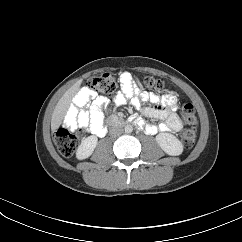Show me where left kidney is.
I'll use <instances>...</instances> for the list:
<instances>
[{
	"instance_id": "5707ae66",
	"label": "left kidney",
	"mask_w": 242,
	"mask_h": 242,
	"mask_svg": "<svg viewBox=\"0 0 242 242\" xmlns=\"http://www.w3.org/2000/svg\"><path fill=\"white\" fill-rule=\"evenodd\" d=\"M156 141L162 150L171 156H178L183 152V145L180 140L171 133H159Z\"/></svg>"
}]
</instances>
